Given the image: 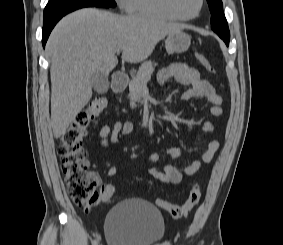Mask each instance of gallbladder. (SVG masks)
I'll list each match as a JSON object with an SVG mask.
<instances>
[{"mask_svg":"<svg viewBox=\"0 0 283 245\" xmlns=\"http://www.w3.org/2000/svg\"><path fill=\"white\" fill-rule=\"evenodd\" d=\"M90 83L92 88L98 93H105L109 88L108 78L101 72H95L90 78Z\"/></svg>","mask_w":283,"mask_h":245,"instance_id":"obj_1","label":"gallbladder"}]
</instances>
